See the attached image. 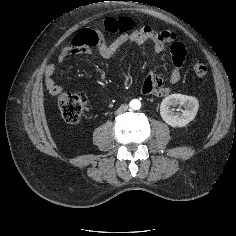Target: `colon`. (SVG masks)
I'll return each instance as SVG.
<instances>
[{"label":"colon","mask_w":236,"mask_h":236,"mask_svg":"<svg viewBox=\"0 0 236 236\" xmlns=\"http://www.w3.org/2000/svg\"><path fill=\"white\" fill-rule=\"evenodd\" d=\"M124 22L125 20L121 21V23ZM192 72L196 79L202 80L206 77L208 69L205 64L194 62L192 64ZM57 103L63 120L69 124L78 123L88 108L86 97L79 93L62 91L58 95Z\"/></svg>","instance_id":"colon-1"}]
</instances>
